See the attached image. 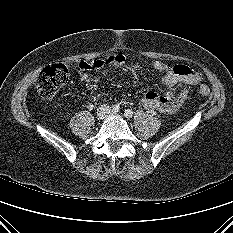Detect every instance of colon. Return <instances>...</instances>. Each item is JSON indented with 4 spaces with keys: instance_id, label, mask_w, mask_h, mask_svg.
<instances>
[{
    "instance_id": "obj_1",
    "label": "colon",
    "mask_w": 233,
    "mask_h": 233,
    "mask_svg": "<svg viewBox=\"0 0 233 233\" xmlns=\"http://www.w3.org/2000/svg\"><path fill=\"white\" fill-rule=\"evenodd\" d=\"M176 71L179 74H197L188 67H178ZM68 75L69 68L62 63L45 67L38 74L35 81L39 94L47 99L55 97L59 89L66 83ZM198 92L201 96L206 97L209 95L210 90L206 85H201Z\"/></svg>"
}]
</instances>
